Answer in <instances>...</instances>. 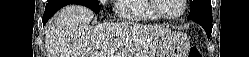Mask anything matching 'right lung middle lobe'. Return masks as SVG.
<instances>
[{
    "label": "right lung middle lobe",
    "instance_id": "1",
    "mask_svg": "<svg viewBox=\"0 0 249 57\" xmlns=\"http://www.w3.org/2000/svg\"><path fill=\"white\" fill-rule=\"evenodd\" d=\"M48 3L54 4H79L86 6L96 13H99V2L98 0H48Z\"/></svg>",
    "mask_w": 249,
    "mask_h": 57
}]
</instances>
